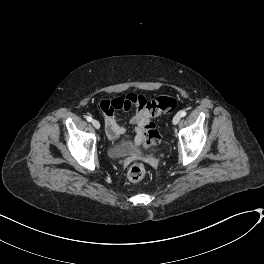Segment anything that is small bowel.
Wrapping results in <instances>:
<instances>
[{
    "label": "small bowel",
    "instance_id": "obj_1",
    "mask_svg": "<svg viewBox=\"0 0 264 264\" xmlns=\"http://www.w3.org/2000/svg\"><path fill=\"white\" fill-rule=\"evenodd\" d=\"M96 108L103 116L107 137L112 145H116L123 135V141H128L130 134L134 133V142L138 146L142 143V122L145 112V98L138 94H129L124 98L100 99ZM116 110L133 111L129 119L131 127L121 126L115 115Z\"/></svg>",
    "mask_w": 264,
    "mask_h": 264
}]
</instances>
